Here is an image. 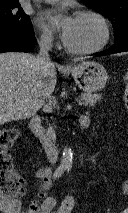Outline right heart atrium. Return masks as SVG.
<instances>
[{"instance_id":"right-heart-atrium-1","label":"right heart atrium","mask_w":128,"mask_h":213,"mask_svg":"<svg viewBox=\"0 0 128 213\" xmlns=\"http://www.w3.org/2000/svg\"><path fill=\"white\" fill-rule=\"evenodd\" d=\"M54 38L53 36L48 32H42L40 34V43L44 46H50L53 44Z\"/></svg>"}]
</instances>
